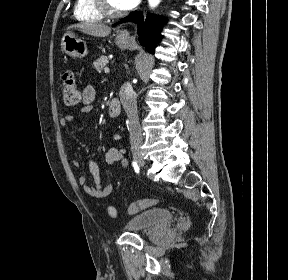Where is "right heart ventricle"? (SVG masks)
Wrapping results in <instances>:
<instances>
[{
  "mask_svg": "<svg viewBox=\"0 0 288 280\" xmlns=\"http://www.w3.org/2000/svg\"><path fill=\"white\" fill-rule=\"evenodd\" d=\"M74 16L79 21L90 23L100 22L103 19V15L97 9L94 0H76Z\"/></svg>",
  "mask_w": 288,
  "mask_h": 280,
  "instance_id": "1",
  "label": "right heart ventricle"
}]
</instances>
